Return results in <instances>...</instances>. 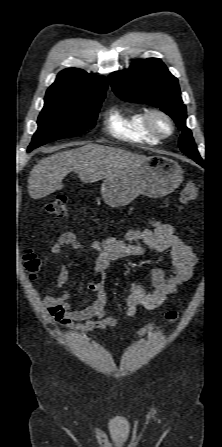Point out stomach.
<instances>
[{"instance_id": "0dacf381", "label": "stomach", "mask_w": 222, "mask_h": 447, "mask_svg": "<svg viewBox=\"0 0 222 447\" xmlns=\"http://www.w3.org/2000/svg\"><path fill=\"white\" fill-rule=\"evenodd\" d=\"M180 165L167 157L153 155L132 169L108 176L101 194L111 207L130 204L139 195L159 198L172 193L182 182Z\"/></svg>"}]
</instances>
